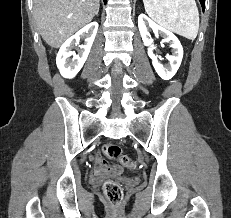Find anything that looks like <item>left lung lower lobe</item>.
<instances>
[{"label":"left lung lower lobe","instance_id":"obj_1","mask_svg":"<svg viewBox=\"0 0 231 218\" xmlns=\"http://www.w3.org/2000/svg\"><path fill=\"white\" fill-rule=\"evenodd\" d=\"M199 1H200L201 5H202V9L204 11V9H205V0H199Z\"/></svg>","mask_w":231,"mask_h":218}]
</instances>
